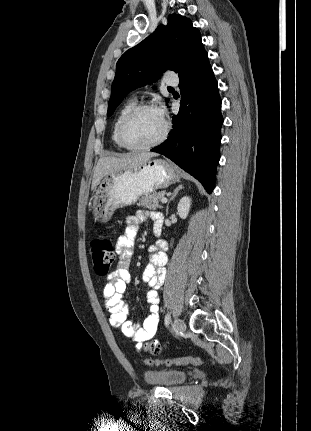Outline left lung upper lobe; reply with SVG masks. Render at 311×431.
<instances>
[{
  "label": "left lung upper lobe",
  "instance_id": "5c2ea615",
  "mask_svg": "<svg viewBox=\"0 0 311 431\" xmlns=\"http://www.w3.org/2000/svg\"><path fill=\"white\" fill-rule=\"evenodd\" d=\"M202 51L200 32L190 19L169 15L166 26H158L118 60L107 116L112 115L130 91L156 81L167 69L174 70L180 77Z\"/></svg>",
  "mask_w": 311,
  "mask_h": 431
}]
</instances>
